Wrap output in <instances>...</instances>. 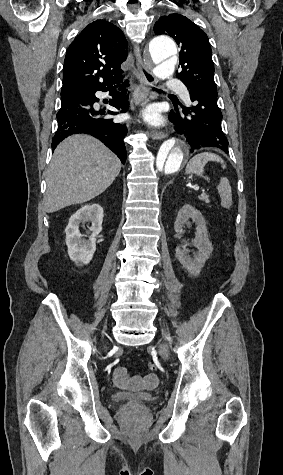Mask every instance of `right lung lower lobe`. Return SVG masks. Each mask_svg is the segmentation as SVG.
Masks as SVG:
<instances>
[{
  "label": "right lung lower lobe",
  "instance_id": "98d812e1",
  "mask_svg": "<svg viewBox=\"0 0 283 475\" xmlns=\"http://www.w3.org/2000/svg\"><path fill=\"white\" fill-rule=\"evenodd\" d=\"M127 83L114 84L100 88H84L72 91L61 96V108L57 113L58 128L52 138V152L54 148L65 138L73 134H90L100 139L110 148L124 164L126 161V147L123 139L127 134V127L124 124L99 117L105 111H96L93 108L99 99L95 96L97 91L110 92L113 100L109 104L126 111L129 107L126 92L124 90ZM118 88V90H116ZM106 114L116 115L118 112L108 111Z\"/></svg>",
  "mask_w": 283,
  "mask_h": 475
}]
</instances>
